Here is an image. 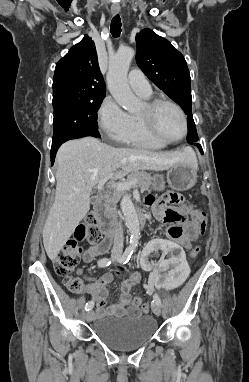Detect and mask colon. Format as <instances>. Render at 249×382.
I'll use <instances>...</instances> for the list:
<instances>
[{"label": "colon", "instance_id": "5ec220e1", "mask_svg": "<svg viewBox=\"0 0 249 382\" xmlns=\"http://www.w3.org/2000/svg\"><path fill=\"white\" fill-rule=\"evenodd\" d=\"M191 214L200 232L204 233L207 227L206 213L201 209H191ZM82 240L93 245H98L104 240L97 217L94 213H89L85 216L83 223L80 224L76 230L75 239L68 241L53 260L55 272L64 278V284L68 290L74 294H79L83 290L82 281L72 275L81 255V249L78 247L77 241ZM199 253L200 247L196 246L191 249L189 255L194 258L198 256ZM134 305L140 307L143 311L148 309V305L144 302L142 296H136L134 298Z\"/></svg>", "mask_w": 249, "mask_h": 382}]
</instances>
